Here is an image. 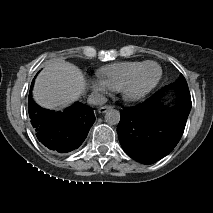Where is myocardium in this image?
<instances>
[{
    "mask_svg": "<svg viewBox=\"0 0 213 213\" xmlns=\"http://www.w3.org/2000/svg\"><path fill=\"white\" fill-rule=\"evenodd\" d=\"M148 65H153L157 68L158 70V74L156 76V79L154 80V82L146 89L137 92V93H131V87L133 86V84L135 83L138 75L140 74V72ZM162 77V70L161 67L153 61H146L144 63H142L122 84V86L119 89L120 95L122 97V99L126 102H136L139 101L141 99H143L144 97H146L150 92H152L155 87L158 85V83L160 82Z\"/></svg>",
    "mask_w": 213,
    "mask_h": 213,
    "instance_id": "f54148a6",
    "label": "myocardium"
}]
</instances>
